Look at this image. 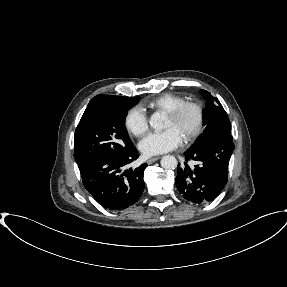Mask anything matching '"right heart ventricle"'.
I'll return each instance as SVG.
<instances>
[{"label": "right heart ventricle", "instance_id": "obj_1", "mask_svg": "<svg viewBox=\"0 0 287 287\" xmlns=\"http://www.w3.org/2000/svg\"><path fill=\"white\" fill-rule=\"evenodd\" d=\"M185 101L186 99L181 95L174 93H164L144 102L142 104V108L153 112L167 113Z\"/></svg>", "mask_w": 287, "mask_h": 287}]
</instances>
